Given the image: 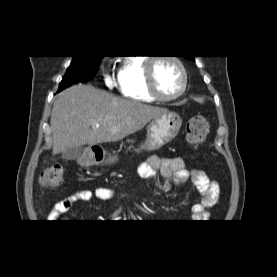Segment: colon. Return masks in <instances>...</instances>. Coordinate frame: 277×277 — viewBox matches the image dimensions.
Instances as JSON below:
<instances>
[{"label":"colon","instance_id":"obj_1","mask_svg":"<svg viewBox=\"0 0 277 277\" xmlns=\"http://www.w3.org/2000/svg\"><path fill=\"white\" fill-rule=\"evenodd\" d=\"M209 133V123L202 114L192 116L186 126V139L194 147L201 145ZM64 178L63 168L59 165H51L39 176V183L45 188H54L62 184Z\"/></svg>","mask_w":277,"mask_h":277}]
</instances>
